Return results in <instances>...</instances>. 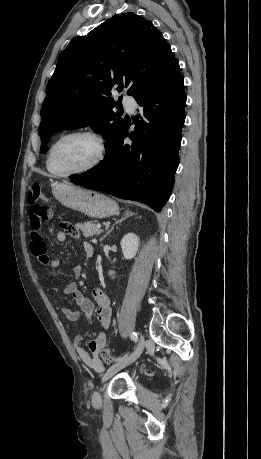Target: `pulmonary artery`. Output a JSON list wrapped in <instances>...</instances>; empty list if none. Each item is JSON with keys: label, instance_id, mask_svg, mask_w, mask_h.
Here are the masks:
<instances>
[{"label": "pulmonary artery", "instance_id": "e3ab8cb5", "mask_svg": "<svg viewBox=\"0 0 261 459\" xmlns=\"http://www.w3.org/2000/svg\"><path fill=\"white\" fill-rule=\"evenodd\" d=\"M123 105L126 108V110L130 113L134 112L136 108V102L131 98H125L123 100Z\"/></svg>", "mask_w": 261, "mask_h": 459}]
</instances>
